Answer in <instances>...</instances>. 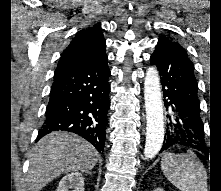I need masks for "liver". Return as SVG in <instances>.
I'll return each instance as SVG.
<instances>
[{"label":"liver","instance_id":"1","mask_svg":"<svg viewBox=\"0 0 221 191\" xmlns=\"http://www.w3.org/2000/svg\"><path fill=\"white\" fill-rule=\"evenodd\" d=\"M98 153L83 138L68 132H52L32 149L27 173V191H40L64 173L89 172L97 163Z\"/></svg>","mask_w":221,"mask_h":191}]
</instances>
